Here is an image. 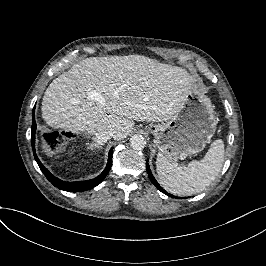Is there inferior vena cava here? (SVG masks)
I'll return each mask as SVG.
<instances>
[{
    "mask_svg": "<svg viewBox=\"0 0 266 266\" xmlns=\"http://www.w3.org/2000/svg\"><path fill=\"white\" fill-rule=\"evenodd\" d=\"M92 136L97 144L103 145L106 141L113 137V132L108 130L94 131L92 132Z\"/></svg>",
    "mask_w": 266,
    "mask_h": 266,
    "instance_id": "602c4592",
    "label": "inferior vena cava"
}]
</instances>
